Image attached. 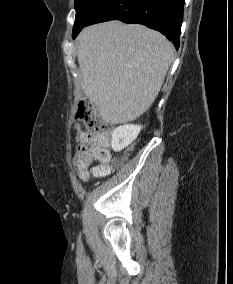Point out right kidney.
<instances>
[{"label": "right kidney", "mask_w": 233, "mask_h": 284, "mask_svg": "<svg viewBox=\"0 0 233 284\" xmlns=\"http://www.w3.org/2000/svg\"><path fill=\"white\" fill-rule=\"evenodd\" d=\"M141 131V125L127 124L117 127L112 133L111 146L114 151H121L131 144Z\"/></svg>", "instance_id": "1"}]
</instances>
